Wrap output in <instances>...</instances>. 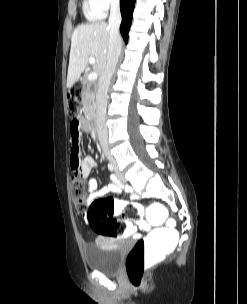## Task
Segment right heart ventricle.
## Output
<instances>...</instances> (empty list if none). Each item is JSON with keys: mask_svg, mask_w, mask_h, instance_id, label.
Listing matches in <instances>:
<instances>
[{"mask_svg": "<svg viewBox=\"0 0 247 304\" xmlns=\"http://www.w3.org/2000/svg\"><path fill=\"white\" fill-rule=\"evenodd\" d=\"M83 12L89 21H97L104 17V13L96 6L94 0H84Z\"/></svg>", "mask_w": 247, "mask_h": 304, "instance_id": "obj_1", "label": "right heart ventricle"}]
</instances>
